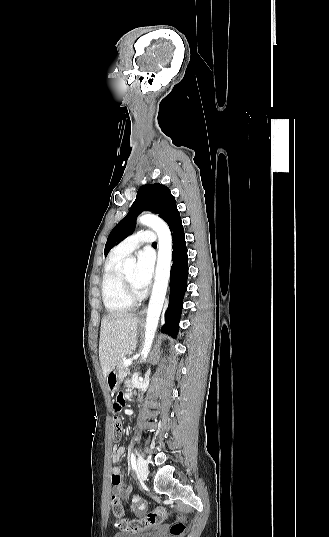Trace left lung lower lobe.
I'll list each match as a JSON object with an SVG mask.
<instances>
[{
	"label": "left lung lower lobe",
	"mask_w": 329,
	"mask_h": 537,
	"mask_svg": "<svg viewBox=\"0 0 329 537\" xmlns=\"http://www.w3.org/2000/svg\"><path fill=\"white\" fill-rule=\"evenodd\" d=\"M172 234L173 251L170 271L169 306L165 313V324L162 330L177 336L183 297L187 289L188 255L183 225H178Z\"/></svg>",
	"instance_id": "left-lung-lower-lobe-1"
}]
</instances>
